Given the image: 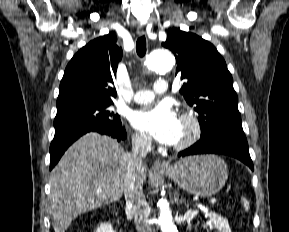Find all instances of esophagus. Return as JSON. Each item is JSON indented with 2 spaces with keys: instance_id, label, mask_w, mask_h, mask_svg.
<instances>
[{
  "instance_id": "obj_1",
  "label": "esophagus",
  "mask_w": 289,
  "mask_h": 232,
  "mask_svg": "<svg viewBox=\"0 0 289 232\" xmlns=\"http://www.w3.org/2000/svg\"><path fill=\"white\" fill-rule=\"evenodd\" d=\"M137 33H138L139 36L144 35L145 29H144V27L142 25L138 26ZM167 167H168V165L166 163L162 162L161 160H156L154 162V164H153V168L155 170H164Z\"/></svg>"
}]
</instances>
